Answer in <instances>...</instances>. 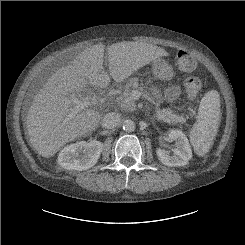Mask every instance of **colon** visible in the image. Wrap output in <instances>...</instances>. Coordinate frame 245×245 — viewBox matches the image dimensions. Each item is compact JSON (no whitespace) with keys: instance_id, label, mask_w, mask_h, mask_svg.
<instances>
[{"instance_id":"colon-1","label":"colon","mask_w":245,"mask_h":245,"mask_svg":"<svg viewBox=\"0 0 245 245\" xmlns=\"http://www.w3.org/2000/svg\"><path fill=\"white\" fill-rule=\"evenodd\" d=\"M176 66L182 72H192L196 67L195 57L187 49L176 52ZM184 90L190 100L199 97L202 91V82L198 77H190L184 81Z\"/></svg>"}]
</instances>
